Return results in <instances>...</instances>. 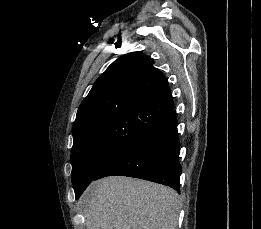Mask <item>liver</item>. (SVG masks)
I'll return each mask as SVG.
<instances>
[{
	"label": "liver",
	"instance_id": "liver-1",
	"mask_svg": "<svg viewBox=\"0 0 261 229\" xmlns=\"http://www.w3.org/2000/svg\"><path fill=\"white\" fill-rule=\"evenodd\" d=\"M83 201L87 229H176L181 205L173 189L128 177L94 181Z\"/></svg>",
	"mask_w": 261,
	"mask_h": 229
}]
</instances>
